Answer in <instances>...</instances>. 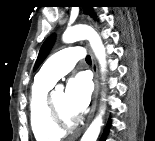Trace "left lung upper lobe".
Segmentation results:
<instances>
[{"label": "left lung upper lobe", "instance_id": "left-lung-upper-lobe-1", "mask_svg": "<svg viewBox=\"0 0 155 141\" xmlns=\"http://www.w3.org/2000/svg\"><path fill=\"white\" fill-rule=\"evenodd\" d=\"M84 8L86 9V11H85L86 13L92 11L91 7H89V6H85ZM54 41H55V36L54 35L49 36L45 40V42L43 43V45H42V47L40 49L38 58L36 60L35 66H34V69H37L38 66L43 62L44 58L46 57V55L48 54L49 50L51 49Z\"/></svg>", "mask_w": 155, "mask_h": 141}]
</instances>
